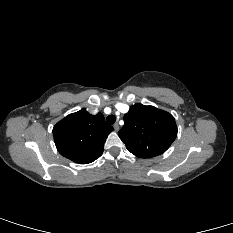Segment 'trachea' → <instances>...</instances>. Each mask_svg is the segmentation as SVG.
Returning a JSON list of instances; mask_svg holds the SVG:
<instances>
[{"instance_id":"trachea-1","label":"trachea","mask_w":233,"mask_h":233,"mask_svg":"<svg viewBox=\"0 0 233 233\" xmlns=\"http://www.w3.org/2000/svg\"><path fill=\"white\" fill-rule=\"evenodd\" d=\"M106 121L108 124L112 125L115 123L116 117L114 115H109V116H107Z\"/></svg>"}]
</instances>
